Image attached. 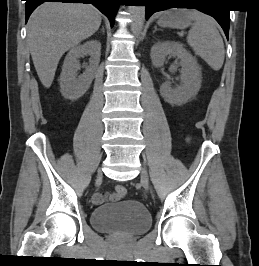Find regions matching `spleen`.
Segmentation results:
<instances>
[{
    "label": "spleen",
    "instance_id": "3e777b00",
    "mask_svg": "<svg viewBox=\"0 0 259 266\" xmlns=\"http://www.w3.org/2000/svg\"><path fill=\"white\" fill-rule=\"evenodd\" d=\"M194 23L188 33L187 43L213 70L218 71L224 63L223 39L215 21L197 10L188 11Z\"/></svg>",
    "mask_w": 259,
    "mask_h": 266
}]
</instances>
